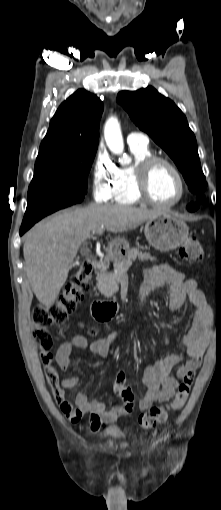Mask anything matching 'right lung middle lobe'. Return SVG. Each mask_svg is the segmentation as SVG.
Here are the masks:
<instances>
[{"label": "right lung middle lobe", "instance_id": "dd1d6c3e", "mask_svg": "<svg viewBox=\"0 0 221 510\" xmlns=\"http://www.w3.org/2000/svg\"><path fill=\"white\" fill-rule=\"evenodd\" d=\"M97 147L36 159L28 205L59 210L80 203L87 193L88 173Z\"/></svg>", "mask_w": 221, "mask_h": 510}]
</instances>
